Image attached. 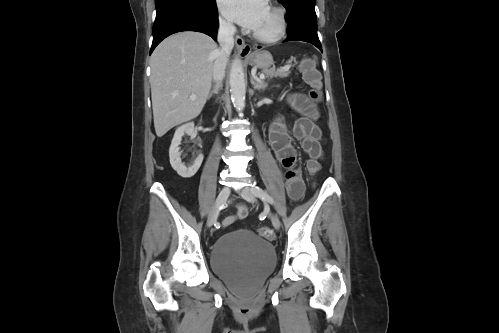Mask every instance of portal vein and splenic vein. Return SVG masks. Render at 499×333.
Instances as JSON below:
<instances>
[{
	"label": "portal vein and splenic vein",
	"mask_w": 499,
	"mask_h": 333,
	"mask_svg": "<svg viewBox=\"0 0 499 333\" xmlns=\"http://www.w3.org/2000/svg\"><path fill=\"white\" fill-rule=\"evenodd\" d=\"M259 78H260V79H264V78H265V77H264V74H261ZM190 99H191V100H194V99H196V96H195V95H191V96H190Z\"/></svg>",
	"instance_id": "obj_1"
}]
</instances>
